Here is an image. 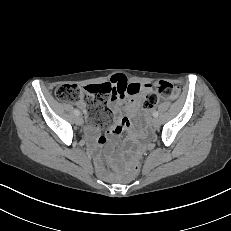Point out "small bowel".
I'll return each mask as SVG.
<instances>
[{
    "label": "small bowel",
    "mask_w": 231,
    "mask_h": 231,
    "mask_svg": "<svg viewBox=\"0 0 231 231\" xmlns=\"http://www.w3.org/2000/svg\"><path fill=\"white\" fill-rule=\"evenodd\" d=\"M103 84H109L113 88L109 97V105L110 109L116 115V120L108 134L110 137L117 138L124 130L131 128L132 118L139 110H143L144 113L147 111L140 100L145 93L148 92L149 85L129 82L122 74L112 76L109 82ZM162 100H165V98H162ZM77 104L82 109L85 108L84 95ZM125 113H127L128 116L125 115ZM86 130L90 136L95 138L98 146H102L107 142V137L99 134L98 129L92 124H88Z\"/></svg>",
    "instance_id": "obj_1"
}]
</instances>
